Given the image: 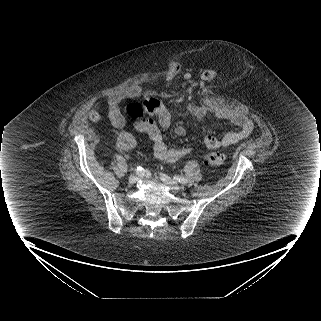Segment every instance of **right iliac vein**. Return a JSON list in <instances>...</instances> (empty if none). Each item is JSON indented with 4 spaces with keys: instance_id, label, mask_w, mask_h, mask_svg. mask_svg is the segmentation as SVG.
Segmentation results:
<instances>
[{
    "instance_id": "right-iliac-vein-1",
    "label": "right iliac vein",
    "mask_w": 321,
    "mask_h": 321,
    "mask_svg": "<svg viewBox=\"0 0 321 321\" xmlns=\"http://www.w3.org/2000/svg\"><path fill=\"white\" fill-rule=\"evenodd\" d=\"M138 180H139V175L137 174H132L129 177V183L132 185L135 184Z\"/></svg>"
}]
</instances>
